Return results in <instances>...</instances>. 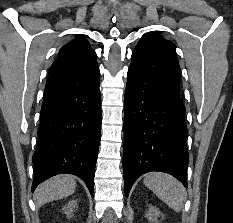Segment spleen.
<instances>
[{"instance_id":"obj_1","label":"spleen","mask_w":233,"mask_h":223,"mask_svg":"<svg viewBox=\"0 0 233 223\" xmlns=\"http://www.w3.org/2000/svg\"><path fill=\"white\" fill-rule=\"evenodd\" d=\"M143 183L149 189H152L157 197L165 201L169 207H172L175 211H181L183 201L186 199V189L178 179L168 175V173L153 171V173L145 175Z\"/></svg>"}]
</instances>
